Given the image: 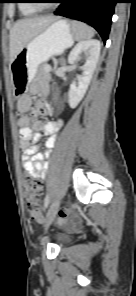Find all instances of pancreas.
I'll return each instance as SVG.
<instances>
[{
    "label": "pancreas",
    "instance_id": "1",
    "mask_svg": "<svg viewBox=\"0 0 136 296\" xmlns=\"http://www.w3.org/2000/svg\"><path fill=\"white\" fill-rule=\"evenodd\" d=\"M50 66L49 65H46V64H44V65H42V67L40 68V70H39V74L41 75V76H43V77H46V78H49V71H48V68H49Z\"/></svg>",
    "mask_w": 136,
    "mask_h": 296
}]
</instances>
